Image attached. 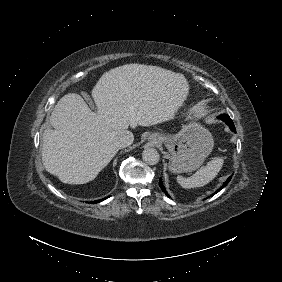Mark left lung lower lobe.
I'll list each match as a JSON object with an SVG mask.
<instances>
[{
    "label": "left lung lower lobe",
    "mask_w": 282,
    "mask_h": 282,
    "mask_svg": "<svg viewBox=\"0 0 282 282\" xmlns=\"http://www.w3.org/2000/svg\"><path fill=\"white\" fill-rule=\"evenodd\" d=\"M218 118L221 119V120H223V121L230 127V129H231L233 132H236L234 123H233V121L230 119L229 115H227V114H222V115H220ZM231 178H232V177L230 176V177L227 179V181L223 183L222 187H220V189H218L215 193L219 192L223 187H225V186L228 184V182L231 180ZM159 185H160L161 189L163 190V192H164L168 197H170V196L168 195V193L166 192V190H165V188H164V186H163V183H162V180H161V179L159 180ZM213 195H214V194H213Z\"/></svg>",
    "instance_id": "obj_1"
}]
</instances>
